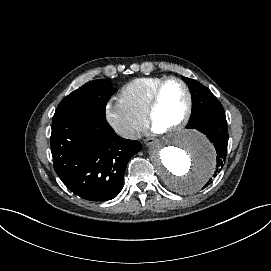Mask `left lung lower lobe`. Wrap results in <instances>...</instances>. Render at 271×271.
Wrapping results in <instances>:
<instances>
[{
  "mask_svg": "<svg viewBox=\"0 0 271 271\" xmlns=\"http://www.w3.org/2000/svg\"><path fill=\"white\" fill-rule=\"evenodd\" d=\"M194 129L205 134L214 144L217 157L213 177H216L226 162L228 145L227 121L223 107L207 111ZM211 180L212 179H210L205 186H207Z\"/></svg>",
  "mask_w": 271,
  "mask_h": 271,
  "instance_id": "obj_1",
  "label": "left lung lower lobe"
}]
</instances>
